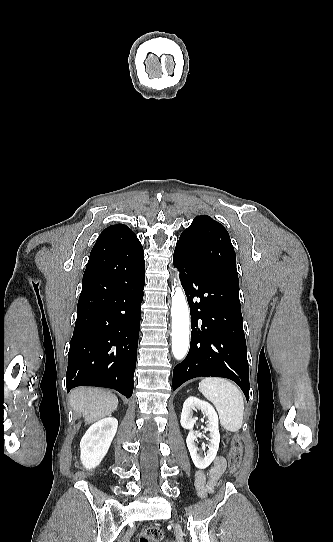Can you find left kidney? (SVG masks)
I'll list each match as a JSON object with an SVG mask.
<instances>
[{
  "instance_id": "obj_1",
  "label": "left kidney",
  "mask_w": 333,
  "mask_h": 542,
  "mask_svg": "<svg viewBox=\"0 0 333 542\" xmlns=\"http://www.w3.org/2000/svg\"><path fill=\"white\" fill-rule=\"evenodd\" d=\"M196 408L197 410H201V412H203V414H205V416L208 418V424L205 430L206 432H210V444L208 446L209 450L207 454H205L204 458H201V456L197 454L198 448L195 446L197 436H194L193 428L197 418H192V410H196ZM180 424L182 428H185V430H190L187 436L186 444L193 460V464H195L196 468H199V470H205V468H208L211 462L215 460L220 442L218 416L214 408H212L208 402H203V400H199V398L190 396V398H187L183 404Z\"/></svg>"
}]
</instances>
